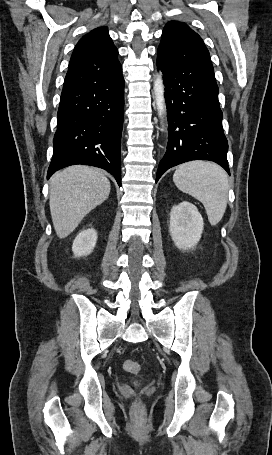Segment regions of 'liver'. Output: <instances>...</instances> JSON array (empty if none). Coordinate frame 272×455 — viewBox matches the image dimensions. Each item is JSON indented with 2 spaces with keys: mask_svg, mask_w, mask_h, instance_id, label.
<instances>
[{
  "mask_svg": "<svg viewBox=\"0 0 272 455\" xmlns=\"http://www.w3.org/2000/svg\"><path fill=\"white\" fill-rule=\"evenodd\" d=\"M110 182L98 169L76 165L54 174L49 205L59 238L70 235L83 218L109 196Z\"/></svg>",
  "mask_w": 272,
  "mask_h": 455,
  "instance_id": "liver-1",
  "label": "liver"
}]
</instances>
